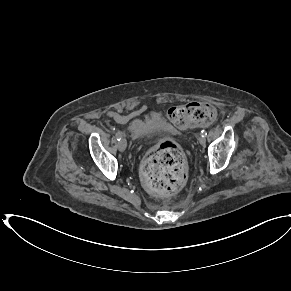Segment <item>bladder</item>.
<instances>
[{"mask_svg": "<svg viewBox=\"0 0 291 291\" xmlns=\"http://www.w3.org/2000/svg\"><path fill=\"white\" fill-rule=\"evenodd\" d=\"M161 121L155 116H150L148 119H132L128 123V131L131 136L142 138L150 135Z\"/></svg>", "mask_w": 291, "mask_h": 291, "instance_id": "bladder-1", "label": "bladder"}]
</instances>
